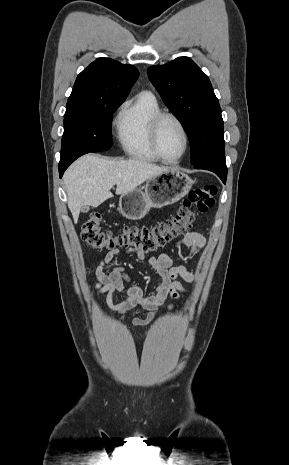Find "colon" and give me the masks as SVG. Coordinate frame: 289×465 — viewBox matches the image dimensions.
Masks as SVG:
<instances>
[{
	"label": "colon",
	"mask_w": 289,
	"mask_h": 465,
	"mask_svg": "<svg viewBox=\"0 0 289 465\" xmlns=\"http://www.w3.org/2000/svg\"><path fill=\"white\" fill-rule=\"evenodd\" d=\"M217 187L212 184L191 190L175 215L152 227L125 226L117 234L103 231L101 216L92 214L83 224L81 236L95 250L127 248L144 254L154 253L173 238L184 234L199 213L213 207Z\"/></svg>",
	"instance_id": "1"
}]
</instances>
